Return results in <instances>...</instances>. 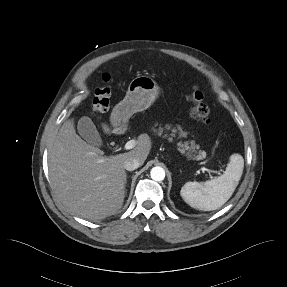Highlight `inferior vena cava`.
Wrapping results in <instances>:
<instances>
[{
  "label": "inferior vena cava",
  "instance_id": "602c4592",
  "mask_svg": "<svg viewBox=\"0 0 287 287\" xmlns=\"http://www.w3.org/2000/svg\"><path fill=\"white\" fill-rule=\"evenodd\" d=\"M139 166H140V162L138 161V159L132 158V157L127 158L123 163L124 169L128 171H133L137 169Z\"/></svg>",
  "mask_w": 287,
  "mask_h": 287
}]
</instances>
